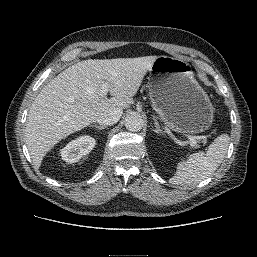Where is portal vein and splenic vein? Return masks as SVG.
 <instances>
[{
    "label": "portal vein and splenic vein",
    "instance_id": "18ae733b",
    "mask_svg": "<svg viewBox=\"0 0 257 257\" xmlns=\"http://www.w3.org/2000/svg\"><path fill=\"white\" fill-rule=\"evenodd\" d=\"M107 92H108V84L103 83L102 87H101V90H100V95L102 97H105L107 95ZM187 138H188L189 144L191 146H197V142H196V140H195V138L193 136L188 135Z\"/></svg>",
    "mask_w": 257,
    "mask_h": 257
}]
</instances>
